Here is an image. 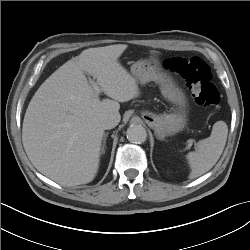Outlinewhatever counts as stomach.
Instances as JSON below:
<instances>
[{"label": "stomach", "instance_id": "1", "mask_svg": "<svg viewBox=\"0 0 250 250\" xmlns=\"http://www.w3.org/2000/svg\"><path fill=\"white\" fill-rule=\"evenodd\" d=\"M131 73L141 84L149 81L157 82L164 98L175 106L173 112L169 114L142 112V117L154 130L157 138L164 139L166 136L182 131L188 121L187 99L184 92L161 72L158 57L151 55L148 58L138 60L132 65Z\"/></svg>", "mask_w": 250, "mask_h": 250}]
</instances>
